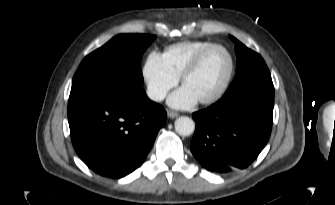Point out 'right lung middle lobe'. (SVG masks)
<instances>
[{"label": "right lung middle lobe", "mask_w": 335, "mask_h": 205, "mask_svg": "<svg viewBox=\"0 0 335 205\" xmlns=\"http://www.w3.org/2000/svg\"><path fill=\"white\" fill-rule=\"evenodd\" d=\"M155 38L119 34L87 55L74 75L69 100L93 93L130 94L143 90L140 62Z\"/></svg>", "instance_id": "obj_1"}]
</instances>
